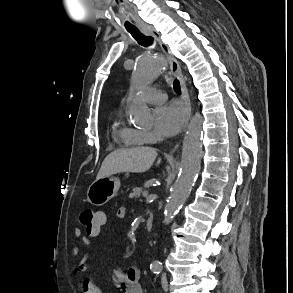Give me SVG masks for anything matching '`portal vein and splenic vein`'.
<instances>
[{"label":"portal vein and splenic vein","instance_id":"obj_1","mask_svg":"<svg viewBox=\"0 0 293 293\" xmlns=\"http://www.w3.org/2000/svg\"><path fill=\"white\" fill-rule=\"evenodd\" d=\"M147 196H148V192L147 191L143 192V197H147Z\"/></svg>","mask_w":293,"mask_h":293}]
</instances>
